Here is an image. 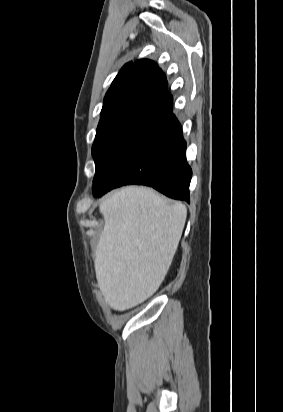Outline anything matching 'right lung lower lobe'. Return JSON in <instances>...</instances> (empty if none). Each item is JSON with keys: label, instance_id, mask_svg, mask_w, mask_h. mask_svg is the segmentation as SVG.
Returning <instances> with one entry per match:
<instances>
[{"label": "right lung lower lobe", "instance_id": "obj_1", "mask_svg": "<svg viewBox=\"0 0 283 412\" xmlns=\"http://www.w3.org/2000/svg\"><path fill=\"white\" fill-rule=\"evenodd\" d=\"M191 177L182 128L171 108L144 131L138 142L93 184L92 190L100 197L113 188L139 184L189 202Z\"/></svg>", "mask_w": 283, "mask_h": 412}]
</instances>
